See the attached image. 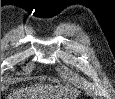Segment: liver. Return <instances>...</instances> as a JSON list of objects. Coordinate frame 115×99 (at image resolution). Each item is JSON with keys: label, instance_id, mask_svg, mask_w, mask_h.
I'll list each match as a JSON object with an SVG mask.
<instances>
[{"label": "liver", "instance_id": "obj_1", "mask_svg": "<svg viewBox=\"0 0 115 99\" xmlns=\"http://www.w3.org/2000/svg\"><path fill=\"white\" fill-rule=\"evenodd\" d=\"M57 90L51 86H44L42 84L35 87L17 90L8 99H37L42 98L47 94L55 93ZM58 97H61L60 95Z\"/></svg>", "mask_w": 115, "mask_h": 99}]
</instances>
